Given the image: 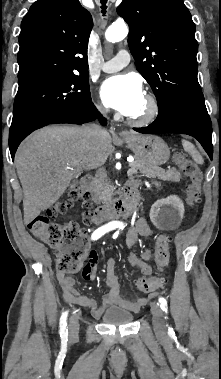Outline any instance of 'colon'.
<instances>
[{"instance_id": "colon-1", "label": "colon", "mask_w": 221, "mask_h": 379, "mask_svg": "<svg viewBox=\"0 0 221 379\" xmlns=\"http://www.w3.org/2000/svg\"><path fill=\"white\" fill-rule=\"evenodd\" d=\"M175 161L181 172L190 181L187 185V203L189 206H195L200 202L202 196V172L195 162L181 155H176ZM90 197L88 191L80 186H75L71 189L67 200L56 203L47 210L46 214L36 216L28 224L29 230L35 237L59 250L60 255L57 266L58 270L63 273L80 271L89 255L88 238L84 229L77 223H55L51 220V217L65 213L74 202H81L88 208ZM83 220L85 223L91 220V213L88 210L85 211ZM170 246L171 237L169 235L161 234L157 238L154 257L160 272L169 264ZM162 282L161 275H157L154 277H139L136 279L135 284L139 291L150 293L160 288Z\"/></svg>"}]
</instances>
